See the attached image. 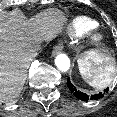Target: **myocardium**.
Returning a JSON list of instances; mask_svg holds the SVG:
<instances>
[{
    "mask_svg": "<svg viewBox=\"0 0 117 117\" xmlns=\"http://www.w3.org/2000/svg\"><path fill=\"white\" fill-rule=\"evenodd\" d=\"M84 37L86 42L93 46L101 44L105 39L103 31L98 26L93 27L85 32Z\"/></svg>",
    "mask_w": 117,
    "mask_h": 117,
    "instance_id": "1",
    "label": "myocardium"
}]
</instances>
